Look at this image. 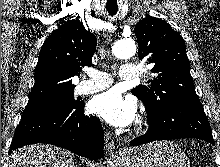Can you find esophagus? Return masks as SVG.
Returning <instances> with one entry per match:
<instances>
[{"instance_id": "esophagus-1", "label": "esophagus", "mask_w": 220, "mask_h": 167, "mask_svg": "<svg viewBox=\"0 0 220 167\" xmlns=\"http://www.w3.org/2000/svg\"><path fill=\"white\" fill-rule=\"evenodd\" d=\"M115 149L114 138L109 131L105 132V150L109 154H113Z\"/></svg>"}]
</instances>
